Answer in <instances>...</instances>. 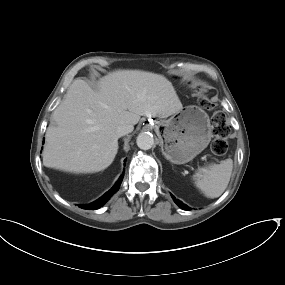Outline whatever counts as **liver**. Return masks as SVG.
Instances as JSON below:
<instances>
[{
  "label": "liver",
  "mask_w": 285,
  "mask_h": 285,
  "mask_svg": "<svg viewBox=\"0 0 285 285\" xmlns=\"http://www.w3.org/2000/svg\"><path fill=\"white\" fill-rule=\"evenodd\" d=\"M182 109L163 75L118 70L100 79L98 91L76 79L52 113L55 126L46 131L43 165L73 173L102 171L117 154L118 126L135 125L143 115L168 117Z\"/></svg>",
  "instance_id": "liver-1"
}]
</instances>
